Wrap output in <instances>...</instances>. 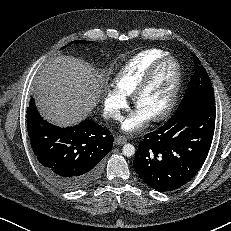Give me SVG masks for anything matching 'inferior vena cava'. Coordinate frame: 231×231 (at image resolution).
<instances>
[{
    "mask_svg": "<svg viewBox=\"0 0 231 231\" xmlns=\"http://www.w3.org/2000/svg\"><path fill=\"white\" fill-rule=\"evenodd\" d=\"M105 117H111L115 120H119L120 119V114L118 113V111H114L112 113H109L107 115H105Z\"/></svg>",
    "mask_w": 231,
    "mask_h": 231,
    "instance_id": "1",
    "label": "inferior vena cava"
}]
</instances>
